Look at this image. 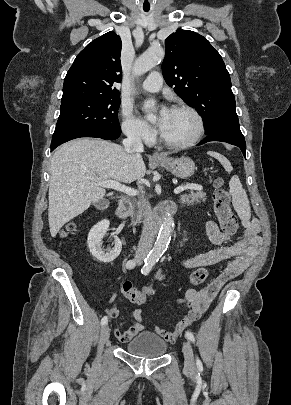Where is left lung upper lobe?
<instances>
[{
    "instance_id": "obj_1",
    "label": "left lung upper lobe",
    "mask_w": 291,
    "mask_h": 405,
    "mask_svg": "<svg viewBox=\"0 0 291 405\" xmlns=\"http://www.w3.org/2000/svg\"><path fill=\"white\" fill-rule=\"evenodd\" d=\"M166 83L203 117L207 135L240 128L230 75L221 55L198 33L178 29L165 40Z\"/></svg>"
}]
</instances>
